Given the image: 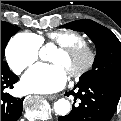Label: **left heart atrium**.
Segmentation results:
<instances>
[{
	"label": "left heart atrium",
	"instance_id": "39dd6f15",
	"mask_svg": "<svg viewBox=\"0 0 121 121\" xmlns=\"http://www.w3.org/2000/svg\"><path fill=\"white\" fill-rule=\"evenodd\" d=\"M66 80L67 74L60 66L37 64L25 74L22 86L27 91L52 93L61 90Z\"/></svg>",
	"mask_w": 121,
	"mask_h": 121
}]
</instances>
